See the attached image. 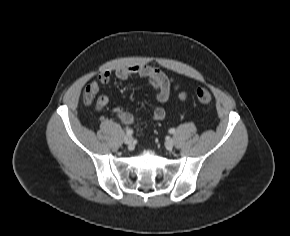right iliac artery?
<instances>
[{"label": "right iliac artery", "mask_w": 290, "mask_h": 236, "mask_svg": "<svg viewBox=\"0 0 290 236\" xmlns=\"http://www.w3.org/2000/svg\"><path fill=\"white\" fill-rule=\"evenodd\" d=\"M126 133H127V135H132L133 134V131L130 130V129H128V130H126Z\"/></svg>", "instance_id": "82829eb1"}]
</instances>
